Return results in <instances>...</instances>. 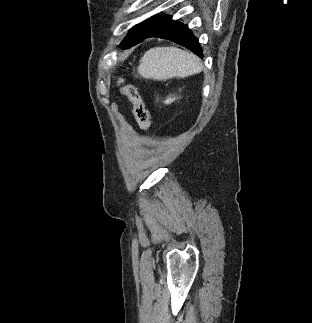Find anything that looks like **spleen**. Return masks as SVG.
Segmentation results:
<instances>
[{
  "label": "spleen",
  "instance_id": "spleen-1",
  "mask_svg": "<svg viewBox=\"0 0 312 323\" xmlns=\"http://www.w3.org/2000/svg\"><path fill=\"white\" fill-rule=\"evenodd\" d=\"M203 66L194 54L179 48H151L145 52L138 66V74L145 80H168V78H187L202 72Z\"/></svg>",
  "mask_w": 312,
  "mask_h": 323
}]
</instances>
